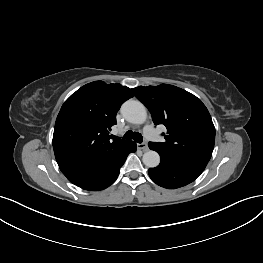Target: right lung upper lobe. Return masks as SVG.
<instances>
[{
    "label": "right lung upper lobe",
    "mask_w": 263,
    "mask_h": 263,
    "mask_svg": "<svg viewBox=\"0 0 263 263\" xmlns=\"http://www.w3.org/2000/svg\"><path fill=\"white\" fill-rule=\"evenodd\" d=\"M133 96L121 84L95 81L65 101L53 134L54 154L63 174L88 167L129 142L113 139L109 131L116 124L120 106Z\"/></svg>",
    "instance_id": "right-lung-upper-lobe-1"
}]
</instances>
